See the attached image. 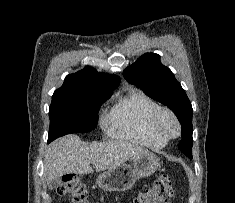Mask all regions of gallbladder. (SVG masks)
Returning a JSON list of instances; mask_svg holds the SVG:
<instances>
[{
	"mask_svg": "<svg viewBox=\"0 0 235 203\" xmlns=\"http://www.w3.org/2000/svg\"><path fill=\"white\" fill-rule=\"evenodd\" d=\"M60 179L58 178V179H54V180H52L50 183H49V189H54V188H56V187H58L59 185H60Z\"/></svg>",
	"mask_w": 235,
	"mask_h": 203,
	"instance_id": "bac80fb5",
	"label": "gallbladder"
}]
</instances>
